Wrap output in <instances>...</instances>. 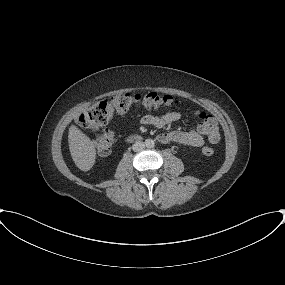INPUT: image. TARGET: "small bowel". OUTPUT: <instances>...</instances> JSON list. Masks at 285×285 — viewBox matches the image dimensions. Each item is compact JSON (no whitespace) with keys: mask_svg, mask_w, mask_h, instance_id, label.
I'll list each match as a JSON object with an SVG mask.
<instances>
[{"mask_svg":"<svg viewBox=\"0 0 285 285\" xmlns=\"http://www.w3.org/2000/svg\"><path fill=\"white\" fill-rule=\"evenodd\" d=\"M180 119V114L177 112H168L161 116L145 115L140 119L143 125H149L156 128H163ZM158 140L161 143L175 142L183 145L201 147L204 142L203 132L197 129H190L188 131H171L160 134Z\"/></svg>","mask_w":285,"mask_h":285,"instance_id":"obj_1","label":"small bowel"}]
</instances>
